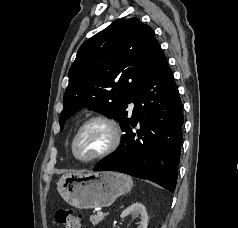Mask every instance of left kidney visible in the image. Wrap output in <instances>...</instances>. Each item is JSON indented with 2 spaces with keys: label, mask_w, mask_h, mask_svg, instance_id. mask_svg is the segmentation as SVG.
<instances>
[{
  "label": "left kidney",
  "mask_w": 238,
  "mask_h": 228,
  "mask_svg": "<svg viewBox=\"0 0 238 228\" xmlns=\"http://www.w3.org/2000/svg\"><path fill=\"white\" fill-rule=\"evenodd\" d=\"M129 215H132V216L140 215L141 222L139 223L137 228H147L148 214L143 204H141L140 202L133 203L121 213L120 217L124 218Z\"/></svg>",
  "instance_id": "1"
}]
</instances>
